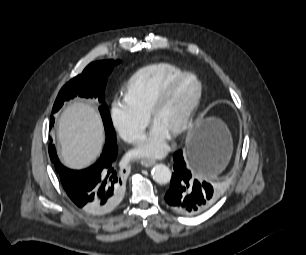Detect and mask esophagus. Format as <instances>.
Returning <instances> with one entry per match:
<instances>
[{
	"label": "esophagus",
	"instance_id": "obj_1",
	"mask_svg": "<svg viewBox=\"0 0 306 255\" xmlns=\"http://www.w3.org/2000/svg\"><path fill=\"white\" fill-rule=\"evenodd\" d=\"M155 160L153 159H143L141 161V165L144 166V167H151L155 164Z\"/></svg>",
	"mask_w": 306,
	"mask_h": 255
}]
</instances>
